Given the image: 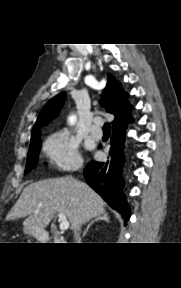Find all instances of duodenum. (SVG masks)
I'll return each instance as SVG.
<instances>
[{
	"label": "duodenum",
	"mask_w": 181,
	"mask_h": 288,
	"mask_svg": "<svg viewBox=\"0 0 181 288\" xmlns=\"http://www.w3.org/2000/svg\"><path fill=\"white\" fill-rule=\"evenodd\" d=\"M37 239L39 241L45 242V243H59L61 242L60 239H56L54 237H52L51 235H49L48 233L45 232H38L37 233Z\"/></svg>",
	"instance_id": "410a0bca"
}]
</instances>
